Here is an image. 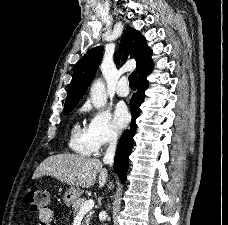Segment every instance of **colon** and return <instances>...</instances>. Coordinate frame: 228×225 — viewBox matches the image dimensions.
Masks as SVG:
<instances>
[{"instance_id": "obj_1", "label": "colon", "mask_w": 228, "mask_h": 225, "mask_svg": "<svg viewBox=\"0 0 228 225\" xmlns=\"http://www.w3.org/2000/svg\"><path fill=\"white\" fill-rule=\"evenodd\" d=\"M26 201L33 208L34 212L38 216L41 215V212H44L45 208L49 202V195L45 188L40 186H30L26 191Z\"/></svg>"}]
</instances>
